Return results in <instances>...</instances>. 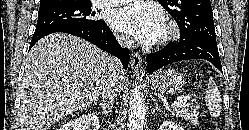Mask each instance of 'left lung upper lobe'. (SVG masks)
Listing matches in <instances>:
<instances>
[{"label":"left lung upper lobe","mask_w":249,"mask_h":130,"mask_svg":"<svg viewBox=\"0 0 249 130\" xmlns=\"http://www.w3.org/2000/svg\"><path fill=\"white\" fill-rule=\"evenodd\" d=\"M176 20L180 39L196 36L216 40L210 0H158Z\"/></svg>","instance_id":"5c2ea615"}]
</instances>
